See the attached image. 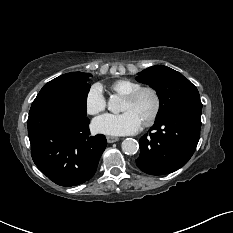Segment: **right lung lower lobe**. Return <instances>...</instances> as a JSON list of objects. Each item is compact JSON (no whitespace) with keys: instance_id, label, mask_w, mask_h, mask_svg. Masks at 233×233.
<instances>
[{"instance_id":"right-lung-lower-lobe-1","label":"right lung lower lobe","mask_w":233,"mask_h":233,"mask_svg":"<svg viewBox=\"0 0 233 233\" xmlns=\"http://www.w3.org/2000/svg\"><path fill=\"white\" fill-rule=\"evenodd\" d=\"M89 119L66 108H43L29 115L31 155L54 183L75 186L96 172L106 148L104 135L90 136Z\"/></svg>"}]
</instances>
